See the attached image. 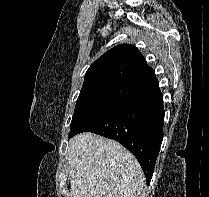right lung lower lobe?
Instances as JSON below:
<instances>
[{
    "label": "right lung lower lobe",
    "mask_w": 209,
    "mask_h": 197,
    "mask_svg": "<svg viewBox=\"0 0 209 197\" xmlns=\"http://www.w3.org/2000/svg\"><path fill=\"white\" fill-rule=\"evenodd\" d=\"M163 121V95L157 84L111 108L69 137L89 131L120 142L135 155L149 183L163 139Z\"/></svg>",
    "instance_id": "right-lung-lower-lobe-1"
}]
</instances>
